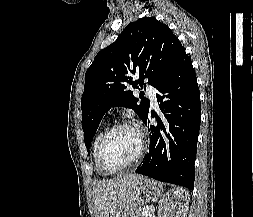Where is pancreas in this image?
<instances>
[{
    "label": "pancreas",
    "mask_w": 253,
    "mask_h": 217,
    "mask_svg": "<svg viewBox=\"0 0 253 217\" xmlns=\"http://www.w3.org/2000/svg\"><path fill=\"white\" fill-rule=\"evenodd\" d=\"M149 207H145L141 209L139 212H137L133 217H155L154 211H149L148 214L145 216L144 212L147 211Z\"/></svg>",
    "instance_id": "cf45deb5"
}]
</instances>
